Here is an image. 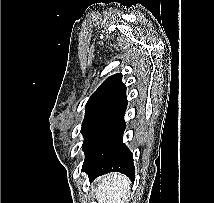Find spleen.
<instances>
[{
    "label": "spleen",
    "instance_id": "obj_1",
    "mask_svg": "<svg viewBox=\"0 0 214 203\" xmlns=\"http://www.w3.org/2000/svg\"><path fill=\"white\" fill-rule=\"evenodd\" d=\"M130 181L122 174H109L100 179L95 196L99 203H125L129 196Z\"/></svg>",
    "mask_w": 214,
    "mask_h": 203
}]
</instances>
